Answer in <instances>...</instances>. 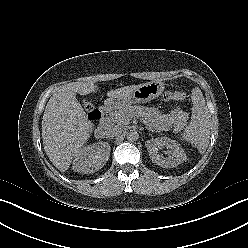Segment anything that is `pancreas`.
I'll return each instance as SVG.
<instances>
[{
  "label": "pancreas",
  "instance_id": "pancreas-1",
  "mask_svg": "<svg viewBox=\"0 0 248 248\" xmlns=\"http://www.w3.org/2000/svg\"><path fill=\"white\" fill-rule=\"evenodd\" d=\"M139 117L152 131H167L172 127L175 130L183 128L187 121V114L183 111H172L169 115H163L156 108L143 106H126L111 112L108 116L109 124L124 127L129 124L130 118Z\"/></svg>",
  "mask_w": 248,
  "mask_h": 248
}]
</instances>
